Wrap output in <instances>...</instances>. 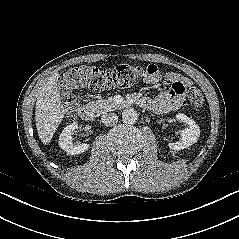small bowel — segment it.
Here are the masks:
<instances>
[{"mask_svg":"<svg viewBox=\"0 0 239 239\" xmlns=\"http://www.w3.org/2000/svg\"><path fill=\"white\" fill-rule=\"evenodd\" d=\"M161 79L162 75L158 67L154 64L148 65L144 78L145 82L150 85H155L158 84ZM167 79L172 83V86L155 98H146L145 108L155 113H165L181 106L185 87L190 84L189 80L180 78L172 73L167 75Z\"/></svg>","mask_w":239,"mask_h":239,"instance_id":"1","label":"small bowel"}]
</instances>
